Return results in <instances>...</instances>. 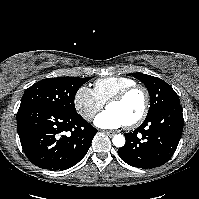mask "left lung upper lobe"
I'll list each match as a JSON object with an SVG mask.
<instances>
[{
	"label": "left lung upper lobe",
	"mask_w": 199,
	"mask_h": 199,
	"mask_svg": "<svg viewBox=\"0 0 199 199\" xmlns=\"http://www.w3.org/2000/svg\"><path fill=\"white\" fill-rule=\"evenodd\" d=\"M132 75L145 84L150 94L151 102L147 116L167 105L180 103L176 92L162 79L143 73H133Z\"/></svg>",
	"instance_id": "obj_1"
}]
</instances>
